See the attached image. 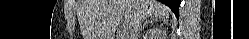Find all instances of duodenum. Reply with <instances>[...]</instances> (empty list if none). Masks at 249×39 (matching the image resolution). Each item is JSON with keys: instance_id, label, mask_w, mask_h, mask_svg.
<instances>
[{"instance_id": "duodenum-1", "label": "duodenum", "mask_w": 249, "mask_h": 39, "mask_svg": "<svg viewBox=\"0 0 249 39\" xmlns=\"http://www.w3.org/2000/svg\"><path fill=\"white\" fill-rule=\"evenodd\" d=\"M122 37L121 36H116L115 39H121Z\"/></svg>"}]
</instances>
